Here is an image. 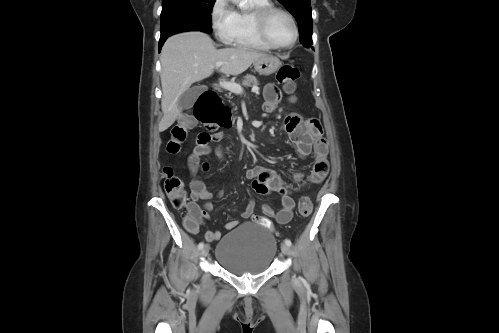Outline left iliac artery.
Instances as JSON below:
<instances>
[{"label":"left iliac artery","mask_w":499,"mask_h":333,"mask_svg":"<svg viewBox=\"0 0 499 333\" xmlns=\"http://www.w3.org/2000/svg\"><path fill=\"white\" fill-rule=\"evenodd\" d=\"M285 244L290 247L292 245V242L289 239H285Z\"/></svg>","instance_id":"left-iliac-artery-1"}]
</instances>
